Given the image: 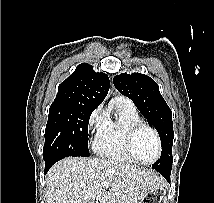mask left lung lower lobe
Listing matches in <instances>:
<instances>
[{
  "label": "left lung lower lobe",
  "instance_id": "obj_1",
  "mask_svg": "<svg viewBox=\"0 0 214 203\" xmlns=\"http://www.w3.org/2000/svg\"><path fill=\"white\" fill-rule=\"evenodd\" d=\"M161 174L167 179V181H170L171 170L170 171L161 172Z\"/></svg>",
  "mask_w": 214,
  "mask_h": 203
}]
</instances>
